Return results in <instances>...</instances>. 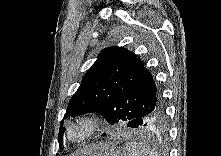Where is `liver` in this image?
Here are the masks:
<instances>
[{"mask_svg": "<svg viewBox=\"0 0 221 156\" xmlns=\"http://www.w3.org/2000/svg\"><path fill=\"white\" fill-rule=\"evenodd\" d=\"M104 147H105V146H103V145H94V146H92V147L87 148V149L85 150V154L93 155V154H95V152H96L97 150L102 149V148H104Z\"/></svg>", "mask_w": 221, "mask_h": 156, "instance_id": "liver-1", "label": "liver"}]
</instances>
